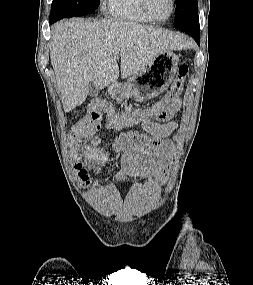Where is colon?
Here are the masks:
<instances>
[{"label": "colon", "mask_w": 253, "mask_h": 285, "mask_svg": "<svg viewBox=\"0 0 253 285\" xmlns=\"http://www.w3.org/2000/svg\"><path fill=\"white\" fill-rule=\"evenodd\" d=\"M188 72L189 68L186 64L180 65L166 97L145 110L119 113L101 101L93 102L78 126H72L69 130L71 137L68 144L72 145V150L69 151L68 158H71L72 167H69L68 171L72 172V176H76L77 180H87L91 168H94L96 161L95 158H91L92 148H94V141L98 140V133L95 131L101 127L103 114H105L107 128H114V126L125 128L139 124L146 118L159 117L162 108L170 104L182 92Z\"/></svg>", "instance_id": "5ec220e1"}]
</instances>
